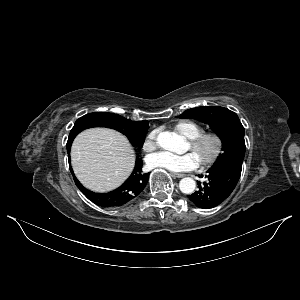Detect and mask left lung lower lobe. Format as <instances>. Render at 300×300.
<instances>
[{
	"mask_svg": "<svg viewBox=\"0 0 300 300\" xmlns=\"http://www.w3.org/2000/svg\"><path fill=\"white\" fill-rule=\"evenodd\" d=\"M242 170V163L226 160L214 164L208 170V182L199 185V190L189 195V200L199 208L210 209L221 204L234 190ZM203 177V176H202Z\"/></svg>",
	"mask_w": 300,
	"mask_h": 300,
	"instance_id": "obj_1",
	"label": "left lung lower lobe"
}]
</instances>
